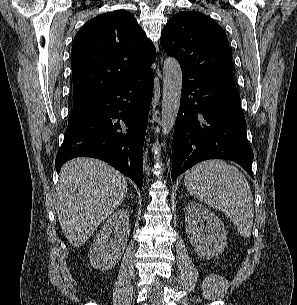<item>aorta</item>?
Segmentation results:
<instances>
[{
    "instance_id": "aorta-1",
    "label": "aorta",
    "mask_w": 297,
    "mask_h": 305,
    "mask_svg": "<svg viewBox=\"0 0 297 305\" xmlns=\"http://www.w3.org/2000/svg\"><path fill=\"white\" fill-rule=\"evenodd\" d=\"M182 70L179 62L166 58L163 65L162 133L168 134L174 127L180 107Z\"/></svg>"
}]
</instances>
